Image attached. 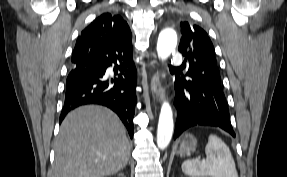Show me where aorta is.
<instances>
[{
    "mask_svg": "<svg viewBox=\"0 0 287 177\" xmlns=\"http://www.w3.org/2000/svg\"><path fill=\"white\" fill-rule=\"evenodd\" d=\"M177 45V34L173 29H164L160 32L157 42V54L162 60L167 59ZM174 129L173 113L168 102H164L161 107L158 129L157 146L165 149L172 138Z\"/></svg>",
    "mask_w": 287,
    "mask_h": 177,
    "instance_id": "obj_1",
    "label": "aorta"
}]
</instances>
